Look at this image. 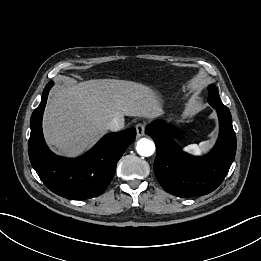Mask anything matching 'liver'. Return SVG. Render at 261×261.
Wrapping results in <instances>:
<instances>
[{
    "label": "liver",
    "mask_w": 261,
    "mask_h": 261,
    "mask_svg": "<svg viewBox=\"0 0 261 261\" xmlns=\"http://www.w3.org/2000/svg\"><path fill=\"white\" fill-rule=\"evenodd\" d=\"M162 113L159 96L148 86L92 79L64 85L53 93L44 112V136L58 154L75 157L106 134V124L114 117L153 118Z\"/></svg>",
    "instance_id": "liver-1"
}]
</instances>
